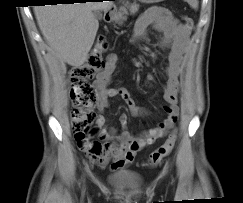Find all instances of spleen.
Instances as JSON below:
<instances>
[{"mask_svg": "<svg viewBox=\"0 0 243 203\" xmlns=\"http://www.w3.org/2000/svg\"><path fill=\"white\" fill-rule=\"evenodd\" d=\"M193 9H198V0H185Z\"/></svg>", "mask_w": 243, "mask_h": 203, "instance_id": "1", "label": "spleen"}]
</instances>
